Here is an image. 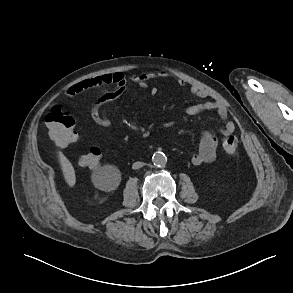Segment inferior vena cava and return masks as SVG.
I'll use <instances>...</instances> for the list:
<instances>
[{
  "label": "inferior vena cava",
  "mask_w": 293,
  "mask_h": 293,
  "mask_svg": "<svg viewBox=\"0 0 293 293\" xmlns=\"http://www.w3.org/2000/svg\"><path fill=\"white\" fill-rule=\"evenodd\" d=\"M143 166H144V163L138 161V162L133 163L132 168H133V169H139V168H141V167H143Z\"/></svg>",
  "instance_id": "inferior-vena-cava-1"
}]
</instances>
